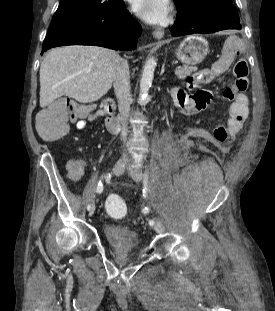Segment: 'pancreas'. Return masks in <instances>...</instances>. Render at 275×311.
<instances>
[{"label": "pancreas", "mask_w": 275, "mask_h": 311, "mask_svg": "<svg viewBox=\"0 0 275 311\" xmlns=\"http://www.w3.org/2000/svg\"><path fill=\"white\" fill-rule=\"evenodd\" d=\"M197 68L196 67H182L177 73L176 75L179 77V78H184L188 75H190L193 71H196Z\"/></svg>", "instance_id": "1"}]
</instances>
